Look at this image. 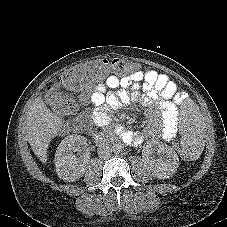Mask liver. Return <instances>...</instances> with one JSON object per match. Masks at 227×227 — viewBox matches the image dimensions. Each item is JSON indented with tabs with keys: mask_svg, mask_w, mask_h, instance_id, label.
<instances>
[{
	"mask_svg": "<svg viewBox=\"0 0 227 227\" xmlns=\"http://www.w3.org/2000/svg\"><path fill=\"white\" fill-rule=\"evenodd\" d=\"M62 125V119L38 96L27 112L26 133L31 149L43 164L48 160L49 143L61 130Z\"/></svg>",
	"mask_w": 227,
	"mask_h": 227,
	"instance_id": "liver-1",
	"label": "liver"
}]
</instances>
